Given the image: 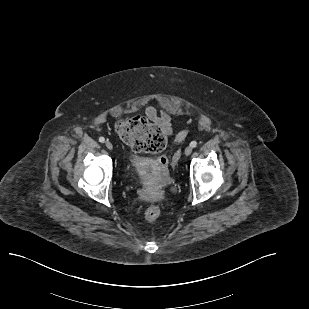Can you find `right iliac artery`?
<instances>
[{
    "label": "right iliac artery",
    "instance_id": "obj_1",
    "mask_svg": "<svg viewBox=\"0 0 309 309\" xmlns=\"http://www.w3.org/2000/svg\"><path fill=\"white\" fill-rule=\"evenodd\" d=\"M99 142L104 143L105 142V138L104 137H100L99 138Z\"/></svg>",
    "mask_w": 309,
    "mask_h": 309
}]
</instances>
